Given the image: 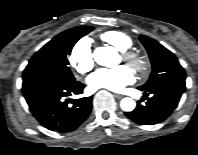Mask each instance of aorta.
Wrapping results in <instances>:
<instances>
[{"label": "aorta", "instance_id": "762f6f07", "mask_svg": "<svg viewBox=\"0 0 198 155\" xmlns=\"http://www.w3.org/2000/svg\"><path fill=\"white\" fill-rule=\"evenodd\" d=\"M93 57L97 64L106 67H114L119 63L116 51L112 47H98L94 50ZM136 103L132 98H123L120 107L125 112H131L135 109Z\"/></svg>", "mask_w": 198, "mask_h": 155}]
</instances>
